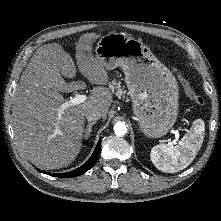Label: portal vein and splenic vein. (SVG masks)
<instances>
[{"label":"portal vein and splenic vein","mask_w":221,"mask_h":221,"mask_svg":"<svg viewBox=\"0 0 221 221\" xmlns=\"http://www.w3.org/2000/svg\"><path fill=\"white\" fill-rule=\"evenodd\" d=\"M86 99H87L86 95L76 94L75 97L71 98L69 101L62 104L60 111H63L64 109H66L69 106H75V105L81 104ZM174 143H175V141L171 142L170 144H174Z\"/></svg>","instance_id":"portal-vein-and-splenic-vein-1"}]
</instances>
